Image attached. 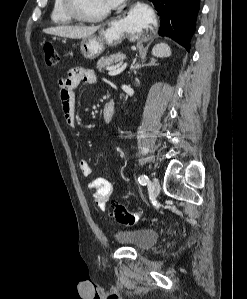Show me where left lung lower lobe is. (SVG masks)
<instances>
[{"label": "left lung lower lobe", "mask_w": 247, "mask_h": 299, "mask_svg": "<svg viewBox=\"0 0 247 299\" xmlns=\"http://www.w3.org/2000/svg\"><path fill=\"white\" fill-rule=\"evenodd\" d=\"M161 18L159 35L190 49L200 0H150Z\"/></svg>", "instance_id": "obj_1"}]
</instances>
